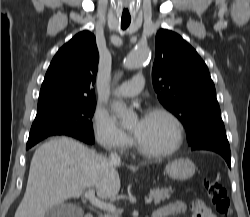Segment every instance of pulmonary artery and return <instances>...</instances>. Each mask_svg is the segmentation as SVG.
<instances>
[{"mask_svg":"<svg viewBox=\"0 0 250 217\" xmlns=\"http://www.w3.org/2000/svg\"><path fill=\"white\" fill-rule=\"evenodd\" d=\"M144 77L141 74L134 76L131 80L122 83L115 91L119 97H134L143 89Z\"/></svg>","mask_w":250,"mask_h":217,"instance_id":"obj_1","label":"pulmonary artery"}]
</instances>
